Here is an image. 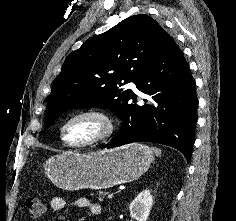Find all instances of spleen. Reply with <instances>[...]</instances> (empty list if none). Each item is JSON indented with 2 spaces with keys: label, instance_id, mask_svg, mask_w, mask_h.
<instances>
[{
  "label": "spleen",
  "instance_id": "spleen-1",
  "mask_svg": "<svg viewBox=\"0 0 236 221\" xmlns=\"http://www.w3.org/2000/svg\"><path fill=\"white\" fill-rule=\"evenodd\" d=\"M153 150H154V152H155V154H156L157 156H160V155H161V149L156 148V147H153Z\"/></svg>",
  "mask_w": 236,
  "mask_h": 221
}]
</instances>
